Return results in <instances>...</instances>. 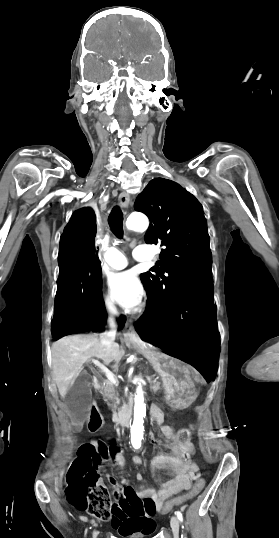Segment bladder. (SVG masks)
<instances>
[{
	"mask_svg": "<svg viewBox=\"0 0 279 538\" xmlns=\"http://www.w3.org/2000/svg\"><path fill=\"white\" fill-rule=\"evenodd\" d=\"M130 538H144V535L140 534L139 532H132L130 534Z\"/></svg>",
	"mask_w": 279,
	"mask_h": 538,
	"instance_id": "31cf9c89",
	"label": "bladder"
}]
</instances>
